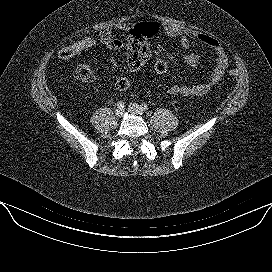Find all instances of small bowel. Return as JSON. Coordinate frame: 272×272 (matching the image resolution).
I'll use <instances>...</instances> for the list:
<instances>
[{
  "mask_svg": "<svg viewBox=\"0 0 272 272\" xmlns=\"http://www.w3.org/2000/svg\"><path fill=\"white\" fill-rule=\"evenodd\" d=\"M123 36L116 38L111 28H106L100 32L104 39V47L111 51L124 50L127 66L131 71H137L143 67L151 57V49L148 43L143 42L135 33L134 26L130 23H121L116 26ZM165 33L172 38H179V44L182 48L187 49L190 41L195 40L209 47L216 57V64L208 80L196 85L173 84L169 87L168 92L171 95H180L186 97H201L207 94L223 77L228 67V56L222 44L214 37L183 28L175 24H164ZM184 62L192 67L197 68L200 64L201 57L196 53H187L183 56Z\"/></svg>",
  "mask_w": 272,
  "mask_h": 272,
  "instance_id": "small-bowel-1",
  "label": "small bowel"
}]
</instances>
